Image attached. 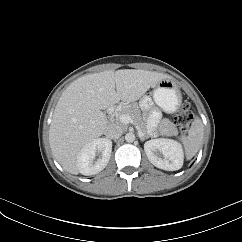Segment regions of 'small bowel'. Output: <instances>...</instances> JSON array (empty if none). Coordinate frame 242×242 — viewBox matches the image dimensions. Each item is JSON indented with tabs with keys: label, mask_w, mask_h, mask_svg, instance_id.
Listing matches in <instances>:
<instances>
[{
	"label": "small bowel",
	"mask_w": 242,
	"mask_h": 242,
	"mask_svg": "<svg viewBox=\"0 0 242 242\" xmlns=\"http://www.w3.org/2000/svg\"><path fill=\"white\" fill-rule=\"evenodd\" d=\"M159 121V114L156 112H153L149 116V124L151 127H154L157 122Z\"/></svg>",
	"instance_id": "obj_1"
}]
</instances>
